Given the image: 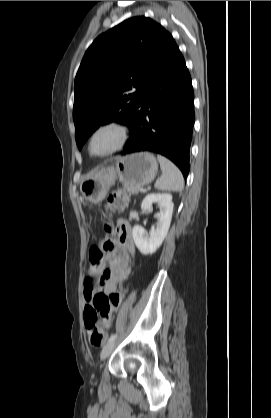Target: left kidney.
Segmentation results:
<instances>
[{
	"mask_svg": "<svg viewBox=\"0 0 271 418\" xmlns=\"http://www.w3.org/2000/svg\"><path fill=\"white\" fill-rule=\"evenodd\" d=\"M153 203H157L160 208V212L155 215L158 219L157 226H152L149 235L139 225H135L132 230L134 242L143 255L153 254L161 246L168 233L172 219L174 205L171 194H148L142 201V210L151 211Z\"/></svg>",
	"mask_w": 271,
	"mask_h": 418,
	"instance_id": "5707ae66",
	"label": "left kidney"
}]
</instances>
